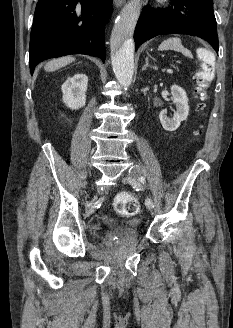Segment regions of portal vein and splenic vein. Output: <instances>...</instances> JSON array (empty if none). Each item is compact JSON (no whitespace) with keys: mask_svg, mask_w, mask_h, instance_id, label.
Returning <instances> with one entry per match:
<instances>
[{"mask_svg":"<svg viewBox=\"0 0 233 328\" xmlns=\"http://www.w3.org/2000/svg\"><path fill=\"white\" fill-rule=\"evenodd\" d=\"M167 72H168L169 74H172V73H173V71H172L171 69H168Z\"/></svg>","mask_w":233,"mask_h":328,"instance_id":"1","label":"portal vein and splenic vein"}]
</instances>
